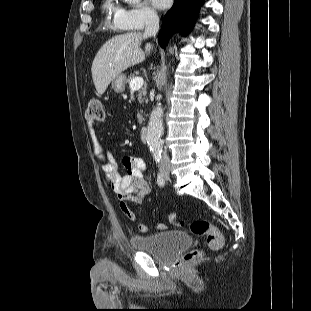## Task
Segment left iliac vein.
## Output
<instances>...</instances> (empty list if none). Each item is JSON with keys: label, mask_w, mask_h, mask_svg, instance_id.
Listing matches in <instances>:
<instances>
[{"label": "left iliac vein", "mask_w": 311, "mask_h": 311, "mask_svg": "<svg viewBox=\"0 0 311 311\" xmlns=\"http://www.w3.org/2000/svg\"><path fill=\"white\" fill-rule=\"evenodd\" d=\"M166 179H168L169 178V176L168 175H166V177H165Z\"/></svg>", "instance_id": "4c4485c4"}]
</instances>
